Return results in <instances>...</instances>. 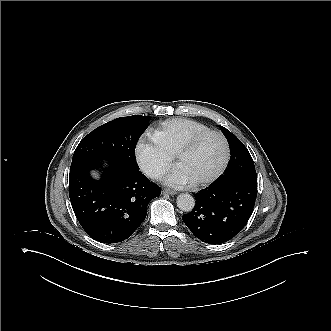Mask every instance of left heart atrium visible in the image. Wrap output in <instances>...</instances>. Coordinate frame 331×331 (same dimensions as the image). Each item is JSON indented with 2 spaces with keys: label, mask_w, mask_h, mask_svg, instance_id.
<instances>
[{
  "label": "left heart atrium",
  "mask_w": 331,
  "mask_h": 331,
  "mask_svg": "<svg viewBox=\"0 0 331 331\" xmlns=\"http://www.w3.org/2000/svg\"><path fill=\"white\" fill-rule=\"evenodd\" d=\"M164 184L167 186L183 189L192 186L194 180L191 176L180 166L173 168L163 178Z\"/></svg>",
  "instance_id": "1"
}]
</instances>
